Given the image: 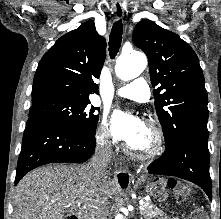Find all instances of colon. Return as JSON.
<instances>
[{
	"mask_svg": "<svg viewBox=\"0 0 221 219\" xmlns=\"http://www.w3.org/2000/svg\"><path fill=\"white\" fill-rule=\"evenodd\" d=\"M186 187L184 185L176 186V196L179 201H183L185 199ZM188 219H207L206 214L203 211H195L193 212Z\"/></svg>",
	"mask_w": 221,
	"mask_h": 219,
	"instance_id": "obj_1",
	"label": "colon"
}]
</instances>
